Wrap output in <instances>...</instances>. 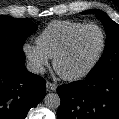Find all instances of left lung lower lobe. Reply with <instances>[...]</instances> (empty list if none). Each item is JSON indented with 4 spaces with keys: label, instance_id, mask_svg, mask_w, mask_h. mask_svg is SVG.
Masks as SVG:
<instances>
[{
    "label": "left lung lower lobe",
    "instance_id": "obj_1",
    "mask_svg": "<svg viewBox=\"0 0 119 119\" xmlns=\"http://www.w3.org/2000/svg\"><path fill=\"white\" fill-rule=\"evenodd\" d=\"M57 119H119V66L58 87Z\"/></svg>",
    "mask_w": 119,
    "mask_h": 119
}]
</instances>
